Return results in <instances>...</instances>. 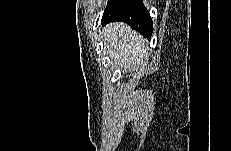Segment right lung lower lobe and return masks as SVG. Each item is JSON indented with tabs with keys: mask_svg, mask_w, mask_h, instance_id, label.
I'll return each instance as SVG.
<instances>
[{
	"mask_svg": "<svg viewBox=\"0 0 231 151\" xmlns=\"http://www.w3.org/2000/svg\"><path fill=\"white\" fill-rule=\"evenodd\" d=\"M123 21L144 38L151 39L153 24L148 10L141 0H109L103 13L102 24Z\"/></svg>",
	"mask_w": 231,
	"mask_h": 151,
	"instance_id": "1",
	"label": "right lung lower lobe"
}]
</instances>
